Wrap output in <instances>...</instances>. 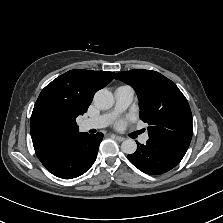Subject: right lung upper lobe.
Wrapping results in <instances>:
<instances>
[{
	"label": "right lung upper lobe",
	"instance_id": "1",
	"mask_svg": "<svg viewBox=\"0 0 223 223\" xmlns=\"http://www.w3.org/2000/svg\"><path fill=\"white\" fill-rule=\"evenodd\" d=\"M114 72L76 69L49 83L40 93L30 120V132L41 162L53 157L80 133L76 117L84 114L97 90Z\"/></svg>",
	"mask_w": 223,
	"mask_h": 223
}]
</instances>
